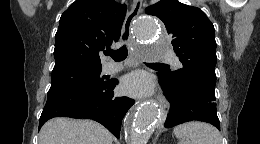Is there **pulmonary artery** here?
I'll return each instance as SVG.
<instances>
[{"instance_id": "pulmonary-artery-1", "label": "pulmonary artery", "mask_w": 260, "mask_h": 144, "mask_svg": "<svg viewBox=\"0 0 260 144\" xmlns=\"http://www.w3.org/2000/svg\"><path fill=\"white\" fill-rule=\"evenodd\" d=\"M160 59H162V60L173 59V54L171 52H165L160 56ZM175 62L178 67L182 66V64L179 60L176 59ZM122 68H123V64H121V63H108L104 66V71L106 73H114V72L121 70Z\"/></svg>"}]
</instances>
